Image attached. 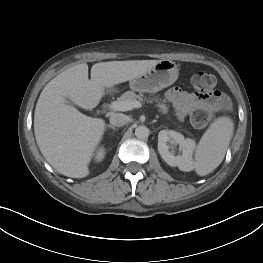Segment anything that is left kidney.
I'll use <instances>...</instances> for the list:
<instances>
[{"label": "left kidney", "mask_w": 263, "mask_h": 263, "mask_svg": "<svg viewBox=\"0 0 263 263\" xmlns=\"http://www.w3.org/2000/svg\"><path fill=\"white\" fill-rule=\"evenodd\" d=\"M174 145H179L181 154L175 156L171 151ZM196 143L193 139H185L184 136L173 130H161L158 134V151L164 161L182 171H191L193 169L192 155Z\"/></svg>", "instance_id": "left-kidney-1"}]
</instances>
